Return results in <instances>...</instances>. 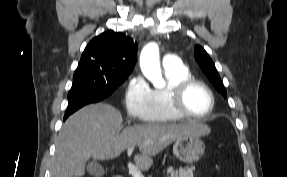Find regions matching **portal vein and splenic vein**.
<instances>
[{
    "label": "portal vein and splenic vein",
    "instance_id": "18ae733b",
    "mask_svg": "<svg viewBox=\"0 0 287 177\" xmlns=\"http://www.w3.org/2000/svg\"><path fill=\"white\" fill-rule=\"evenodd\" d=\"M134 151V147H130L127 150V155L130 156L132 154V152ZM128 169H129V173L133 176V177H144V175L141 173V171L138 169V167H136L134 164H132L131 162H128Z\"/></svg>",
    "mask_w": 287,
    "mask_h": 177
}]
</instances>
